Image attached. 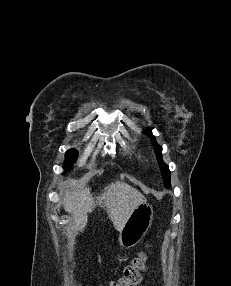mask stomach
<instances>
[{"label": "stomach", "mask_w": 231, "mask_h": 286, "mask_svg": "<svg viewBox=\"0 0 231 286\" xmlns=\"http://www.w3.org/2000/svg\"><path fill=\"white\" fill-rule=\"evenodd\" d=\"M152 220V206L148 203L138 205L119 233L118 243L120 247L129 249L137 245L146 234Z\"/></svg>", "instance_id": "stomach-1"}]
</instances>
